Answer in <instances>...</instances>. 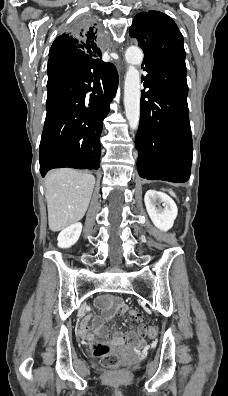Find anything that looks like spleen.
<instances>
[{
  "mask_svg": "<svg viewBox=\"0 0 228 396\" xmlns=\"http://www.w3.org/2000/svg\"><path fill=\"white\" fill-rule=\"evenodd\" d=\"M169 193H170L172 196H174V197L176 196L175 193H174L172 190H170Z\"/></svg>",
  "mask_w": 228,
  "mask_h": 396,
  "instance_id": "spleen-1",
  "label": "spleen"
}]
</instances>
